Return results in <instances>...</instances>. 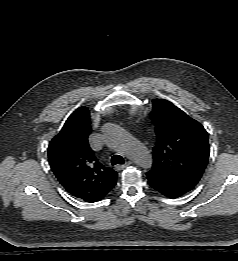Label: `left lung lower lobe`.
I'll list each match as a JSON object with an SVG mask.
<instances>
[{
  "mask_svg": "<svg viewBox=\"0 0 238 261\" xmlns=\"http://www.w3.org/2000/svg\"><path fill=\"white\" fill-rule=\"evenodd\" d=\"M148 183L154 190L158 191L159 193H161L167 197L177 198V197L181 196L180 194L173 192L169 188H167V187L161 185L160 183L153 181L149 178H148Z\"/></svg>",
  "mask_w": 238,
  "mask_h": 261,
  "instance_id": "1",
  "label": "left lung lower lobe"
}]
</instances>
